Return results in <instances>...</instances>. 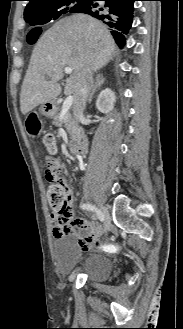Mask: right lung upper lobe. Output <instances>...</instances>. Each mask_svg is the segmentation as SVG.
<instances>
[{
	"instance_id": "1",
	"label": "right lung upper lobe",
	"mask_w": 183,
	"mask_h": 329,
	"mask_svg": "<svg viewBox=\"0 0 183 329\" xmlns=\"http://www.w3.org/2000/svg\"><path fill=\"white\" fill-rule=\"evenodd\" d=\"M24 18L38 17L46 14L52 7L53 4L64 1V0H28Z\"/></svg>"
}]
</instances>
